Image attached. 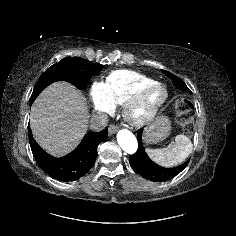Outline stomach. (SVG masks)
<instances>
[{"mask_svg":"<svg viewBox=\"0 0 236 236\" xmlns=\"http://www.w3.org/2000/svg\"><path fill=\"white\" fill-rule=\"evenodd\" d=\"M171 131V122L166 116H159L151 122L144 132L146 143H157L169 136Z\"/></svg>","mask_w":236,"mask_h":236,"instance_id":"0dacf381","label":"stomach"}]
</instances>
